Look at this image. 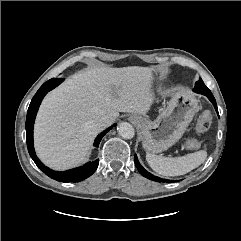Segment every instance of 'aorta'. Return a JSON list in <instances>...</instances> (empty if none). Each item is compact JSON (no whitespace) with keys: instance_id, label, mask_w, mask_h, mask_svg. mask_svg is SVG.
<instances>
[{"instance_id":"obj_1","label":"aorta","mask_w":241,"mask_h":241,"mask_svg":"<svg viewBox=\"0 0 241 241\" xmlns=\"http://www.w3.org/2000/svg\"><path fill=\"white\" fill-rule=\"evenodd\" d=\"M118 134L124 139H131L135 135V130L133 126L127 122H121L118 125Z\"/></svg>"}]
</instances>
